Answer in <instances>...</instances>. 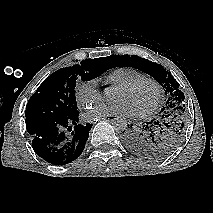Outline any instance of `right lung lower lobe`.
Here are the masks:
<instances>
[{"instance_id":"98d812e1","label":"right lung lower lobe","mask_w":213,"mask_h":213,"mask_svg":"<svg viewBox=\"0 0 213 213\" xmlns=\"http://www.w3.org/2000/svg\"><path fill=\"white\" fill-rule=\"evenodd\" d=\"M79 112L39 126L30 135L37 155L48 163L65 165L78 158L85 148L91 124H79Z\"/></svg>"}]
</instances>
